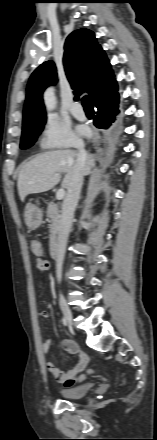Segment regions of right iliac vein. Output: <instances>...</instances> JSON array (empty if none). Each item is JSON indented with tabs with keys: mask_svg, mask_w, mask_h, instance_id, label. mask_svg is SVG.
<instances>
[{
	"mask_svg": "<svg viewBox=\"0 0 157 440\" xmlns=\"http://www.w3.org/2000/svg\"><path fill=\"white\" fill-rule=\"evenodd\" d=\"M59 302H60L61 310H62V312L64 314V317H65L67 323L70 326H72L73 325L72 313H71V310H70V308H69V306H68V304H67V302H66V300L64 299L63 296H60V301Z\"/></svg>",
	"mask_w": 157,
	"mask_h": 440,
	"instance_id": "63e3f726",
	"label": "right iliac vein"
}]
</instances>
